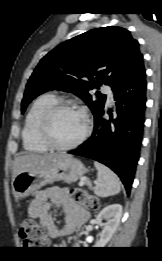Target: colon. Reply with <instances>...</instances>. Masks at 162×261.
<instances>
[{"mask_svg":"<svg viewBox=\"0 0 162 261\" xmlns=\"http://www.w3.org/2000/svg\"><path fill=\"white\" fill-rule=\"evenodd\" d=\"M75 202L86 209L96 211L100 208L99 198L89 194L83 189H77L72 193ZM19 235L24 247L41 248L47 244V235L39 224L32 218L25 219L20 224Z\"/></svg>","mask_w":162,"mask_h":261,"instance_id":"obj_1","label":"colon"}]
</instances>
